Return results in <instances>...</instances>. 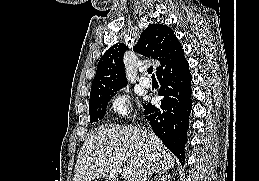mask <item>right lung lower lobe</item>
I'll use <instances>...</instances> for the list:
<instances>
[{
    "label": "right lung lower lobe",
    "instance_id": "right-lung-lower-lobe-1",
    "mask_svg": "<svg viewBox=\"0 0 259 181\" xmlns=\"http://www.w3.org/2000/svg\"><path fill=\"white\" fill-rule=\"evenodd\" d=\"M157 77L161 84L158 94L163 96L161 106L157 108L151 103L145 104V118L150 122L155 135L184 164V147L192 108V76L184 52L171 59L157 73Z\"/></svg>",
    "mask_w": 259,
    "mask_h": 181
}]
</instances>
